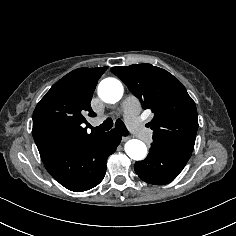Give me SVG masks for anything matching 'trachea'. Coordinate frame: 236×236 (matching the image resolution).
I'll list each match as a JSON object with an SVG mask.
<instances>
[{"instance_id":"trachea-1","label":"trachea","mask_w":236,"mask_h":236,"mask_svg":"<svg viewBox=\"0 0 236 236\" xmlns=\"http://www.w3.org/2000/svg\"><path fill=\"white\" fill-rule=\"evenodd\" d=\"M113 126V121L112 119L108 118L106 119L100 126L97 127H92L90 126V128L92 129V131H107L110 130ZM115 128L123 135V136H127L129 135V132L125 126V124L123 123V121H121L120 119H118L115 123Z\"/></svg>"}]
</instances>
